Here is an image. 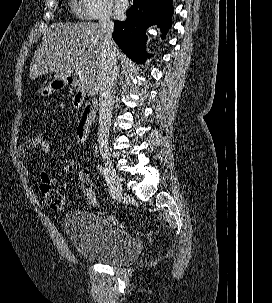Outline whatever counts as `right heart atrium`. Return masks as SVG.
Segmentation results:
<instances>
[{"label":"right heart atrium","mask_w":272,"mask_h":303,"mask_svg":"<svg viewBox=\"0 0 272 303\" xmlns=\"http://www.w3.org/2000/svg\"><path fill=\"white\" fill-rule=\"evenodd\" d=\"M80 14L88 20H109L111 8L109 0H79Z\"/></svg>","instance_id":"1"}]
</instances>
